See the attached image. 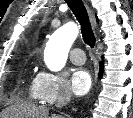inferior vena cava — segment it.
Returning <instances> with one entry per match:
<instances>
[{"label":"inferior vena cava","instance_id":"inferior-vena-cava-1","mask_svg":"<svg viewBox=\"0 0 133 118\" xmlns=\"http://www.w3.org/2000/svg\"><path fill=\"white\" fill-rule=\"evenodd\" d=\"M71 99V92L68 89H61L57 101H56V107L57 108H62L65 106Z\"/></svg>","mask_w":133,"mask_h":118}]
</instances>
